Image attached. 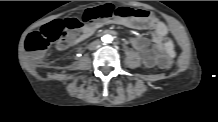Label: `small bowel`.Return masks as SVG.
Masks as SVG:
<instances>
[{
	"label": "small bowel",
	"mask_w": 218,
	"mask_h": 122,
	"mask_svg": "<svg viewBox=\"0 0 218 122\" xmlns=\"http://www.w3.org/2000/svg\"><path fill=\"white\" fill-rule=\"evenodd\" d=\"M83 32L88 35L90 33H92L95 30V27L93 26H84L82 28ZM157 37H158V42L161 48H163L165 51L167 52H171L172 51V43L170 41L167 40H163V37L166 35V28L163 25H160L157 28ZM77 42L76 38H71L68 42L69 46L74 45ZM132 43L136 46H139L141 44L140 40L138 39H132Z\"/></svg>",
	"instance_id": "obj_1"
}]
</instances>
